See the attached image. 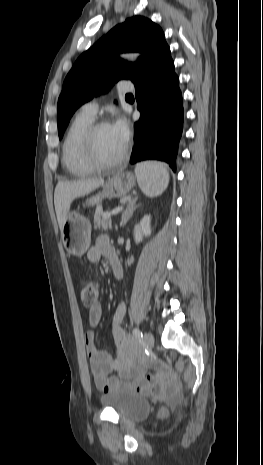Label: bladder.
Returning <instances> with one entry per match:
<instances>
[{
  "label": "bladder",
  "mask_w": 263,
  "mask_h": 465,
  "mask_svg": "<svg viewBox=\"0 0 263 465\" xmlns=\"http://www.w3.org/2000/svg\"><path fill=\"white\" fill-rule=\"evenodd\" d=\"M101 403L130 420H142L151 412V404L146 397L127 390L106 393L101 396Z\"/></svg>",
  "instance_id": "31cf9c89"
}]
</instances>
